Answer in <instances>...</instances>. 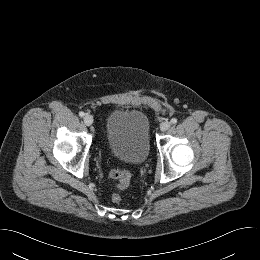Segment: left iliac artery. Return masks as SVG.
Returning a JSON list of instances; mask_svg holds the SVG:
<instances>
[{"instance_id": "44dca946", "label": "left iliac artery", "mask_w": 260, "mask_h": 260, "mask_svg": "<svg viewBox=\"0 0 260 260\" xmlns=\"http://www.w3.org/2000/svg\"><path fill=\"white\" fill-rule=\"evenodd\" d=\"M171 123H172V124H176V123H177V119H176V118H172V119H171Z\"/></svg>"}]
</instances>
